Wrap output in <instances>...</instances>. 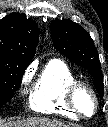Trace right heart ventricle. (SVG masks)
<instances>
[{"label": "right heart ventricle", "instance_id": "obj_1", "mask_svg": "<svg viewBox=\"0 0 108 127\" xmlns=\"http://www.w3.org/2000/svg\"><path fill=\"white\" fill-rule=\"evenodd\" d=\"M75 80L73 72L63 61H49L32 88L30 107L42 114L76 118L66 100L67 89Z\"/></svg>", "mask_w": 108, "mask_h": 127}]
</instances>
